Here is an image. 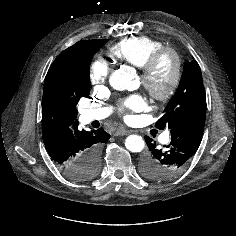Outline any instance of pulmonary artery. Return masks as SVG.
<instances>
[{"label": "pulmonary artery", "mask_w": 236, "mask_h": 236, "mask_svg": "<svg viewBox=\"0 0 236 236\" xmlns=\"http://www.w3.org/2000/svg\"><path fill=\"white\" fill-rule=\"evenodd\" d=\"M109 114V109L99 108V109H89L83 112L84 122L89 123L94 120H101L107 117ZM162 142L166 143L169 141V134L165 133L161 137Z\"/></svg>", "instance_id": "pulmonary-artery-1"}]
</instances>
